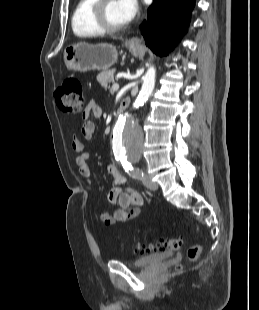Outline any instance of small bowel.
I'll return each mask as SVG.
<instances>
[{
	"mask_svg": "<svg viewBox=\"0 0 259 310\" xmlns=\"http://www.w3.org/2000/svg\"><path fill=\"white\" fill-rule=\"evenodd\" d=\"M102 113L101 107L95 102L90 101L83 112V124L81 133L85 139H90L94 133L95 125L89 119L92 115L99 117ZM71 148L75 153V163L78 166L81 177L88 183L92 184V175L89 166V154L83 152V143L80 138L74 135L71 139ZM107 172L113 177L114 184L107 195L111 204H117L118 208L113 214L101 212L99 219L105 225H113L118 222H126L138 216L143 204V198L137 191L127 185L126 178L119 172L118 168L109 163L106 165Z\"/></svg>",
	"mask_w": 259,
	"mask_h": 310,
	"instance_id": "1",
	"label": "small bowel"
}]
</instances>
